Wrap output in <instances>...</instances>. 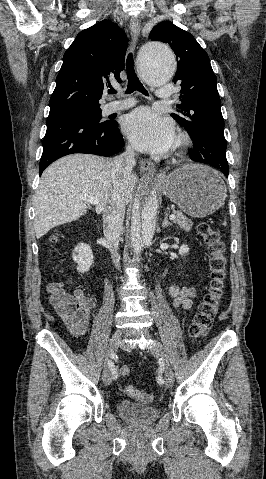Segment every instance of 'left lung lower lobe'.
I'll return each instance as SVG.
<instances>
[{
	"label": "left lung lower lobe",
	"mask_w": 266,
	"mask_h": 479,
	"mask_svg": "<svg viewBox=\"0 0 266 479\" xmlns=\"http://www.w3.org/2000/svg\"><path fill=\"white\" fill-rule=\"evenodd\" d=\"M215 168H218V169H220V170L223 172V174H224L226 177H228V174H229V167L218 166V167H215Z\"/></svg>",
	"instance_id": "0a47b994"
}]
</instances>
